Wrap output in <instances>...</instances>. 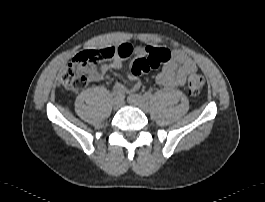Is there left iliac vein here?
<instances>
[{
  "instance_id": "4c4485c4",
  "label": "left iliac vein",
  "mask_w": 265,
  "mask_h": 202,
  "mask_svg": "<svg viewBox=\"0 0 265 202\" xmlns=\"http://www.w3.org/2000/svg\"><path fill=\"white\" fill-rule=\"evenodd\" d=\"M127 101L134 107L141 109L142 111L146 112L149 110V103L148 101L139 94H129L127 97Z\"/></svg>"
}]
</instances>
